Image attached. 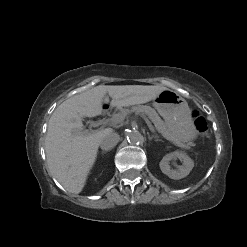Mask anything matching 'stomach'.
<instances>
[{
    "instance_id": "obj_1",
    "label": "stomach",
    "mask_w": 247,
    "mask_h": 247,
    "mask_svg": "<svg viewBox=\"0 0 247 247\" xmlns=\"http://www.w3.org/2000/svg\"><path fill=\"white\" fill-rule=\"evenodd\" d=\"M153 106L164 118L169 130L184 143L194 141L198 132L187 101L177 92L166 89L153 102Z\"/></svg>"
}]
</instances>
